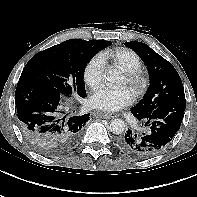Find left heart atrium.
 Segmentation results:
<instances>
[{
  "label": "left heart atrium",
  "instance_id": "left-heart-atrium-1",
  "mask_svg": "<svg viewBox=\"0 0 197 197\" xmlns=\"http://www.w3.org/2000/svg\"><path fill=\"white\" fill-rule=\"evenodd\" d=\"M134 100L133 93L128 88L113 89L102 86L90 98V104L106 112H116L130 105Z\"/></svg>",
  "mask_w": 197,
  "mask_h": 197
}]
</instances>
